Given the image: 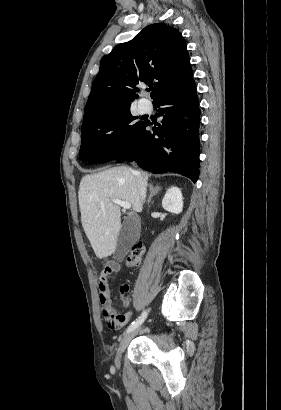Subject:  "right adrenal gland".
I'll use <instances>...</instances> for the list:
<instances>
[{"instance_id":"right-adrenal-gland-1","label":"right adrenal gland","mask_w":281,"mask_h":410,"mask_svg":"<svg viewBox=\"0 0 281 410\" xmlns=\"http://www.w3.org/2000/svg\"><path fill=\"white\" fill-rule=\"evenodd\" d=\"M160 190L161 187L159 185L154 187L153 184H150V196L148 198V204H150L152 197L155 196Z\"/></svg>"}]
</instances>
